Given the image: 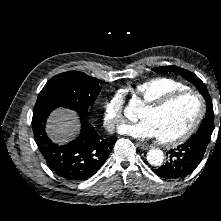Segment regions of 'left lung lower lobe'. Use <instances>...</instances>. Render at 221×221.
Instances as JSON below:
<instances>
[{
    "label": "left lung lower lobe",
    "mask_w": 221,
    "mask_h": 221,
    "mask_svg": "<svg viewBox=\"0 0 221 221\" xmlns=\"http://www.w3.org/2000/svg\"><path fill=\"white\" fill-rule=\"evenodd\" d=\"M209 135L195 134L184 144L169 151L167 162L153 172L165 179H179L192 173L201 162Z\"/></svg>",
    "instance_id": "left-lung-lower-lobe-1"
}]
</instances>
